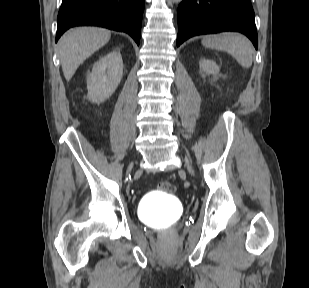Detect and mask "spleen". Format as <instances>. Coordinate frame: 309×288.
I'll return each mask as SVG.
<instances>
[{
  "label": "spleen",
  "instance_id": "spleen-1",
  "mask_svg": "<svg viewBox=\"0 0 309 288\" xmlns=\"http://www.w3.org/2000/svg\"><path fill=\"white\" fill-rule=\"evenodd\" d=\"M202 45L208 48L226 51L244 68L252 66L253 46L251 42L241 34L225 32L207 35L203 37Z\"/></svg>",
  "mask_w": 309,
  "mask_h": 288
}]
</instances>
